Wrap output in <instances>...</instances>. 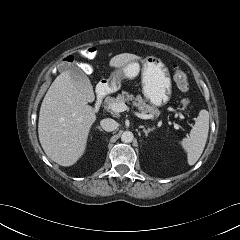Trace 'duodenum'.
Returning a JSON list of instances; mask_svg holds the SVG:
<instances>
[{"instance_id":"1","label":"duodenum","mask_w":240,"mask_h":240,"mask_svg":"<svg viewBox=\"0 0 240 240\" xmlns=\"http://www.w3.org/2000/svg\"><path fill=\"white\" fill-rule=\"evenodd\" d=\"M110 92V86L107 83H102L96 90V100L94 102L95 109H99L103 100Z\"/></svg>"}]
</instances>
